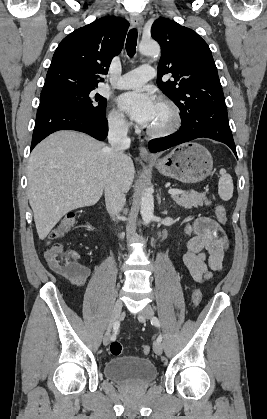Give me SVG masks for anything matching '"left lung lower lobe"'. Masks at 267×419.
I'll list each match as a JSON object with an SVG mask.
<instances>
[{"label": "left lung lower lobe", "mask_w": 267, "mask_h": 419, "mask_svg": "<svg viewBox=\"0 0 267 419\" xmlns=\"http://www.w3.org/2000/svg\"><path fill=\"white\" fill-rule=\"evenodd\" d=\"M210 138L228 145L237 156L227 110H213L196 113L182 122L178 132L149 141L150 152L156 153L196 138Z\"/></svg>", "instance_id": "0a47b994"}]
</instances>
